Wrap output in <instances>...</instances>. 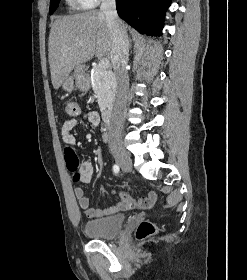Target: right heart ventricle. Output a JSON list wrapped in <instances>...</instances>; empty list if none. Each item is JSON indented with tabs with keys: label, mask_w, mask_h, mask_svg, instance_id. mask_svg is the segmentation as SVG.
<instances>
[{
	"label": "right heart ventricle",
	"mask_w": 247,
	"mask_h": 280,
	"mask_svg": "<svg viewBox=\"0 0 247 280\" xmlns=\"http://www.w3.org/2000/svg\"><path fill=\"white\" fill-rule=\"evenodd\" d=\"M67 1H68L69 5L73 8L79 4L78 0H67Z\"/></svg>",
	"instance_id": "1"
}]
</instances>
